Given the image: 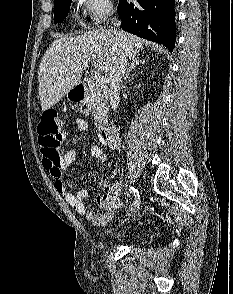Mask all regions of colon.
Masks as SVG:
<instances>
[{
	"label": "colon",
	"instance_id": "colon-1",
	"mask_svg": "<svg viewBox=\"0 0 233 294\" xmlns=\"http://www.w3.org/2000/svg\"><path fill=\"white\" fill-rule=\"evenodd\" d=\"M37 134L42 152L47 157L59 156V145L63 139V122L53 109L42 113L37 124ZM109 209H117L121 203L117 200H108L105 203Z\"/></svg>",
	"mask_w": 233,
	"mask_h": 294
}]
</instances>
